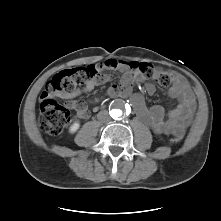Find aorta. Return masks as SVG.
Here are the masks:
<instances>
[{
  "label": "aorta",
  "mask_w": 221,
  "mask_h": 221,
  "mask_svg": "<svg viewBox=\"0 0 221 221\" xmlns=\"http://www.w3.org/2000/svg\"><path fill=\"white\" fill-rule=\"evenodd\" d=\"M111 114L114 119H120L123 116V109L121 107L117 109H113L111 111Z\"/></svg>",
  "instance_id": "obj_1"
}]
</instances>
